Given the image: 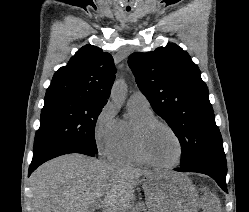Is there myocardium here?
Wrapping results in <instances>:
<instances>
[{"mask_svg":"<svg viewBox=\"0 0 249 212\" xmlns=\"http://www.w3.org/2000/svg\"><path fill=\"white\" fill-rule=\"evenodd\" d=\"M155 127H161L165 129L166 131H168L176 139L178 143L179 156H178V159L172 164L157 163L153 161L146 152L145 138L147 134ZM133 140H134L135 150H136L138 157L144 164L148 166H151L157 169H173L179 166L184 158L185 148L178 133L169 124L163 121H160L156 118H151V119L137 123L133 130Z\"/></svg>","mask_w":249,"mask_h":212,"instance_id":"1","label":"myocardium"}]
</instances>
